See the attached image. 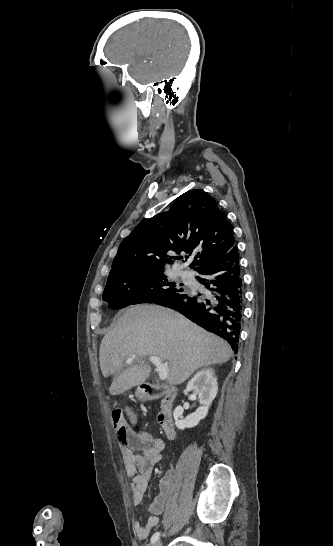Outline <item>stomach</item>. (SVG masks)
<instances>
[{"mask_svg":"<svg viewBox=\"0 0 333 546\" xmlns=\"http://www.w3.org/2000/svg\"><path fill=\"white\" fill-rule=\"evenodd\" d=\"M135 396L138 400H145L146 396H145V393L142 391L141 388H137L136 392H135Z\"/></svg>","mask_w":333,"mask_h":546,"instance_id":"1","label":"stomach"}]
</instances>
